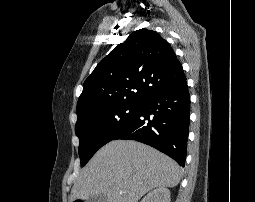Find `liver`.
<instances>
[{"mask_svg": "<svg viewBox=\"0 0 255 202\" xmlns=\"http://www.w3.org/2000/svg\"><path fill=\"white\" fill-rule=\"evenodd\" d=\"M179 165L156 149L133 140L103 146L82 170L71 190V201L105 194L107 202H138L159 187H175Z\"/></svg>", "mask_w": 255, "mask_h": 202, "instance_id": "obj_1", "label": "liver"}]
</instances>
